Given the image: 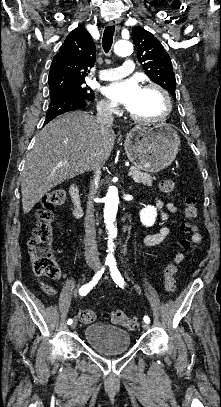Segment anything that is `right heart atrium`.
Returning <instances> with one entry per match:
<instances>
[{
	"label": "right heart atrium",
	"mask_w": 221,
	"mask_h": 407,
	"mask_svg": "<svg viewBox=\"0 0 221 407\" xmlns=\"http://www.w3.org/2000/svg\"><path fill=\"white\" fill-rule=\"evenodd\" d=\"M97 110L100 113H108V114H113V113L117 112L116 106L106 99H102L98 102Z\"/></svg>",
	"instance_id": "obj_1"
}]
</instances>
